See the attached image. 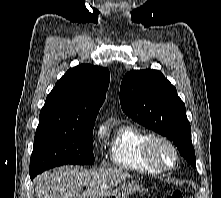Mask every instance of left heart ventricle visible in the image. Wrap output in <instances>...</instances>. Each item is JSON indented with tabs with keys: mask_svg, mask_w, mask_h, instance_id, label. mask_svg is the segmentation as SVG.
<instances>
[{
	"mask_svg": "<svg viewBox=\"0 0 221 198\" xmlns=\"http://www.w3.org/2000/svg\"><path fill=\"white\" fill-rule=\"evenodd\" d=\"M155 154L161 163L165 165L172 164L173 154L171 150L165 144L157 143L155 145Z\"/></svg>",
	"mask_w": 221,
	"mask_h": 198,
	"instance_id": "obj_1",
	"label": "left heart ventricle"
}]
</instances>
